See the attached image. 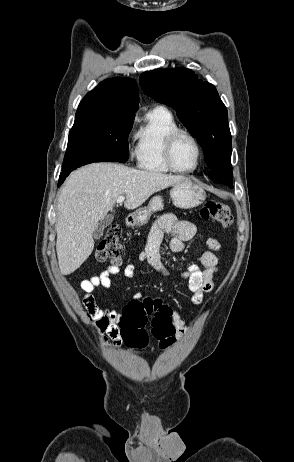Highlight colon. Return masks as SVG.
I'll list each match as a JSON object with an SVG mask.
<instances>
[{"label": "colon", "instance_id": "5ec220e1", "mask_svg": "<svg viewBox=\"0 0 294 462\" xmlns=\"http://www.w3.org/2000/svg\"><path fill=\"white\" fill-rule=\"evenodd\" d=\"M204 220L217 223L226 228L232 223L229 208L222 202L209 201L200 211ZM121 230L118 226H110L105 237L96 250L98 261H110L118 264L122 258V245L120 242ZM172 309L159 299H134L122 310L119 326L127 346L143 348L148 344L149 336L145 330L150 319L151 333L165 347L175 341V328L172 323Z\"/></svg>", "mask_w": 294, "mask_h": 462}]
</instances>
